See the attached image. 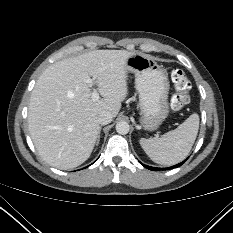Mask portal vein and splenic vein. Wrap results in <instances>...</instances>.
Returning a JSON list of instances; mask_svg holds the SVG:
<instances>
[{"mask_svg":"<svg viewBox=\"0 0 233 233\" xmlns=\"http://www.w3.org/2000/svg\"><path fill=\"white\" fill-rule=\"evenodd\" d=\"M94 80H95L94 78L93 79L88 78L87 83H89L92 86L94 84ZM91 97L93 101H97L99 99V93L97 92L96 89H94V91L92 92Z\"/></svg>","mask_w":233,"mask_h":233,"instance_id":"18ae733b","label":"portal vein and splenic vein"}]
</instances>
